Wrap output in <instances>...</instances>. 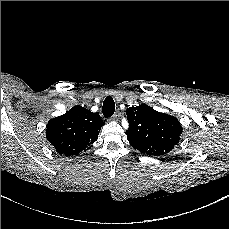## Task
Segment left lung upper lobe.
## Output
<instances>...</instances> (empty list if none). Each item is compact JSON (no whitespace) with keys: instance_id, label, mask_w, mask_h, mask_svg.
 Instances as JSON below:
<instances>
[{"instance_id":"1","label":"left lung upper lobe","mask_w":229,"mask_h":229,"mask_svg":"<svg viewBox=\"0 0 229 229\" xmlns=\"http://www.w3.org/2000/svg\"><path fill=\"white\" fill-rule=\"evenodd\" d=\"M129 128L126 131L131 146L149 156L169 153L180 140L182 127L177 118L141 104L126 110Z\"/></svg>"}]
</instances>
